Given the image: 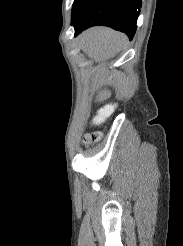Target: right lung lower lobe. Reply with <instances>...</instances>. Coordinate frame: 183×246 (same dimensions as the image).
<instances>
[{"label":"right lung lower lobe","instance_id":"right-lung-lower-lobe-1","mask_svg":"<svg viewBox=\"0 0 183 246\" xmlns=\"http://www.w3.org/2000/svg\"><path fill=\"white\" fill-rule=\"evenodd\" d=\"M141 0H81L72 13L75 36L96 25L124 32L131 40L136 32Z\"/></svg>","mask_w":183,"mask_h":246}]
</instances>
